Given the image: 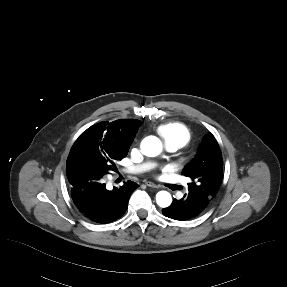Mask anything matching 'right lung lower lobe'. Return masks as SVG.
I'll use <instances>...</instances> for the list:
<instances>
[{
    "label": "right lung lower lobe",
    "instance_id": "1",
    "mask_svg": "<svg viewBox=\"0 0 287 287\" xmlns=\"http://www.w3.org/2000/svg\"><path fill=\"white\" fill-rule=\"evenodd\" d=\"M106 174L93 168H82L67 174L71 197L80 212L96 223H109L120 218L127 209L132 192L139 187L127 181L120 188L106 189Z\"/></svg>",
    "mask_w": 287,
    "mask_h": 287
}]
</instances>
